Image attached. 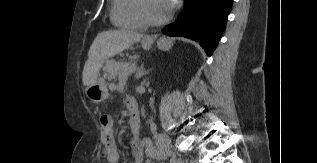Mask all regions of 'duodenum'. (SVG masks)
Listing matches in <instances>:
<instances>
[{"instance_id":"1","label":"duodenum","mask_w":317,"mask_h":163,"mask_svg":"<svg viewBox=\"0 0 317 163\" xmlns=\"http://www.w3.org/2000/svg\"><path fill=\"white\" fill-rule=\"evenodd\" d=\"M130 126L132 135L137 137L139 134V127H140V115L138 112H131L130 113Z\"/></svg>"}]
</instances>
